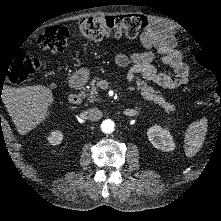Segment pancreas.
<instances>
[{"label":"pancreas","instance_id":"cf45deb5","mask_svg":"<svg viewBox=\"0 0 221 221\" xmlns=\"http://www.w3.org/2000/svg\"><path fill=\"white\" fill-rule=\"evenodd\" d=\"M87 86L91 89L90 101L94 102L96 100V88L99 86V81L96 78H90L87 81ZM134 89L142 100L153 103L158 109L163 110L167 116L172 117L176 114L177 109L175 105L161 95L160 91L150 87L148 82L140 80L136 82Z\"/></svg>","mask_w":221,"mask_h":221}]
</instances>
